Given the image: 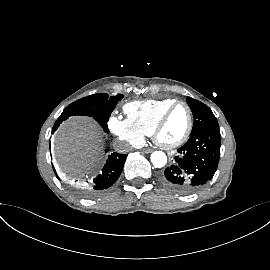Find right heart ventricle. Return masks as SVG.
<instances>
[{
    "mask_svg": "<svg viewBox=\"0 0 270 270\" xmlns=\"http://www.w3.org/2000/svg\"><path fill=\"white\" fill-rule=\"evenodd\" d=\"M174 102L175 99L132 101L124 106L127 119L143 135L151 136L154 126L162 113Z\"/></svg>",
    "mask_w": 270,
    "mask_h": 270,
    "instance_id": "e07e8e85",
    "label": "right heart ventricle"
}]
</instances>
